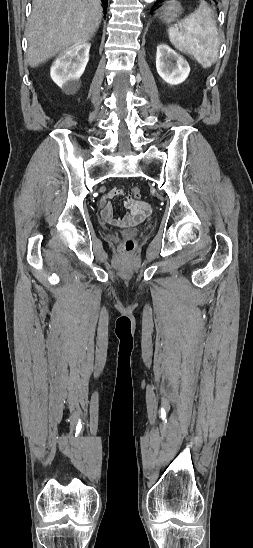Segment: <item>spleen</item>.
Masks as SVG:
<instances>
[{
    "label": "spleen",
    "instance_id": "spleen-1",
    "mask_svg": "<svg viewBox=\"0 0 253 548\" xmlns=\"http://www.w3.org/2000/svg\"><path fill=\"white\" fill-rule=\"evenodd\" d=\"M177 25L169 28L171 43L179 51L188 54L203 67L209 68L217 61L219 54L218 30L214 13L209 5L200 0L199 7Z\"/></svg>",
    "mask_w": 253,
    "mask_h": 548
}]
</instances>
